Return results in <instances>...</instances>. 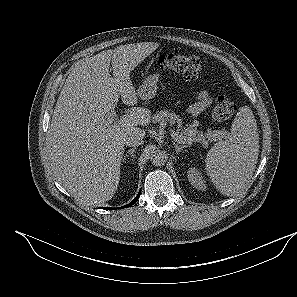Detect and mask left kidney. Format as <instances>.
I'll use <instances>...</instances> for the list:
<instances>
[{"instance_id":"5707ae66","label":"left kidney","mask_w":297,"mask_h":297,"mask_svg":"<svg viewBox=\"0 0 297 297\" xmlns=\"http://www.w3.org/2000/svg\"><path fill=\"white\" fill-rule=\"evenodd\" d=\"M187 176H188L189 182L194 188L202 191L206 190V183L197 168L195 167L189 168L187 172Z\"/></svg>"}]
</instances>
